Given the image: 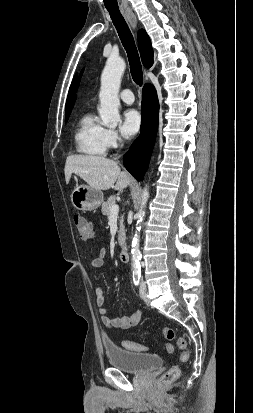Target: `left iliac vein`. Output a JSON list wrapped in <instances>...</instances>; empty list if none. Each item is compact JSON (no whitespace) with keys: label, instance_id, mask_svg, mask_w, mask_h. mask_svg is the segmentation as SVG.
<instances>
[{"label":"left iliac vein","instance_id":"obj_1","mask_svg":"<svg viewBox=\"0 0 253 413\" xmlns=\"http://www.w3.org/2000/svg\"><path fill=\"white\" fill-rule=\"evenodd\" d=\"M146 292H147L146 283H145V281H142L141 285H140V290H139V295H140L141 299H143V300L146 299Z\"/></svg>","mask_w":253,"mask_h":413}]
</instances>
